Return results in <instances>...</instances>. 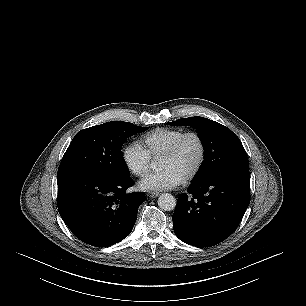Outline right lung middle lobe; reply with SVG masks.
I'll return each instance as SVG.
<instances>
[{
  "label": "right lung middle lobe",
  "instance_id": "obj_1",
  "mask_svg": "<svg viewBox=\"0 0 306 306\" xmlns=\"http://www.w3.org/2000/svg\"><path fill=\"white\" fill-rule=\"evenodd\" d=\"M148 128L129 122L111 121L79 131L62 158L57 184L86 175L129 176L122 145L128 137Z\"/></svg>",
  "mask_w": 306,
  "mask_h": 306
}]
</instances>
